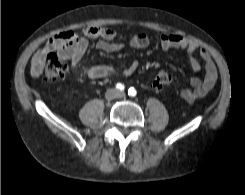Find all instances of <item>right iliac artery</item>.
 Masks as SVG:
<instances>
[{
  "mask_svg": "<svg viewBox=\"0 0 245 195\" xmlns=\"http://www.w3.org/2000/svg\"><path fill=\"white\" fill-rule=\"evenodd\" d=\"M116 88L120 91H123L125 89V86L122 83L116 84Z\"/></svg>",
  "mask_w": 245,
  "mask_h": 195,
  "instance_id": "right-iliac-artery-1",
  "label": "right iliac artery"
}]
</instances>
